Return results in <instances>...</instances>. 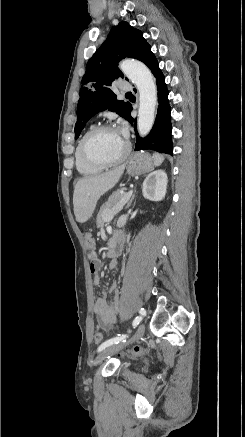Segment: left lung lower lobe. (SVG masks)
Instances as JSON below:
<instances>
[{
    "instance_id": "obj_1",
    "label": "left lung lower lobe",
    "mask_w": 245,
    "mask_h": 437,
    "mask_svg": "<svg viewBox=\"0 0 245 437\" xmlns=\"http://www.w3.org/2000/svg\"><path fill=\"white\" fill-rule=\"evenodd\" d=\"M145 63L153 75L156 78L157 90H158V111L155 119V124L149 135L145 138L139 137L136 130V119H135V132L137 136V143L135 145V151L139 150H154L157 152H163L166 154H173V144L171 137V116H170V105L168 101V90L165 84V78L159 68L158 62L151 52L148 50L140 59ZM132 111V106L129 108L126 120L133 124L134 119L131 117L130 113Z\"/></svg>"
}]
</instances>
